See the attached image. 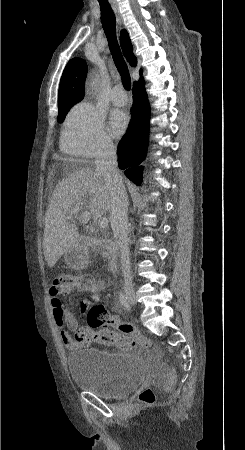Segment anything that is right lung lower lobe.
Masks as SVG:
<instances>
[{
	"mask_svg": "<svg viewBox=\"0 0 245 450\" xmlns=\"http://www.w3.org/2000/svg\"><path fill=\"white\" fill-rule=\"evenodd\" d=\"M144 86L141 75L133 87L132 121L117 150L119 168L125 169V175L137 185H140L142 180L143 166L140 164L146 157L149 134L150 105Z\"/></svg>",
	"mask_w": 245,
	"mask_h": 450,
	"instance_id": "obj_1",
	"label": "right lung lower lobe"
}]
</instances>
